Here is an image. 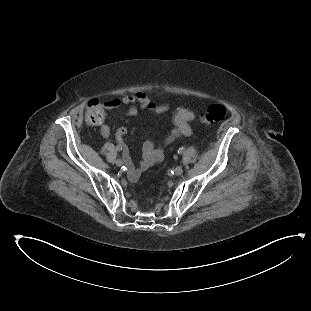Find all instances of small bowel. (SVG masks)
<instances>
[{"mask_svg": "<svg viewBox=\"0 0 311 311\" xmlns=\"http://www.w3.org/2000/svg\"><path fill=\"white\" fill-rule=\"evenodd\" d=\"M122 106H126L127 110L123 113L122 117L129 118L134 117L138 114L139 109H146L151 111L154 115H161L167 113L170 110L168 104H156L147 95L143 93L126 95L122 98H115L107 100L104 103L106 109H118ZM196 115L193 111L178 108L175 111L173 122L174 127L164 137L161 144L156 145L150 139H147L143 144V155L139 164V170L135 174L143 172L153 166L154 164L161 162L164 158L165 148L173 143L179 137H187L192 134L190 122L195 120ZM101 134L105 137L111 135V129L109 125L103 124L101 126ZM127 133V128L121 126L115 132V138L119 142L124 141V137Z\"/></svg>", "mask_w": 311, "mask_h": 311, "instance_id": "small-bowel-1", "label": "small bowel"}]
</instances>
